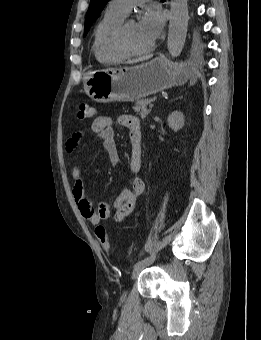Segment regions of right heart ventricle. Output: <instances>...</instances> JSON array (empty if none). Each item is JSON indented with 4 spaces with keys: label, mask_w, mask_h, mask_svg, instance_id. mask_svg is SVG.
Masks as SVG:
<instances>
[{
    "label": "right heart ventricle",
    "mask_w": 261,
    "mask_h": 340,
    "mask_svg": "<svg viewBox=\"0 0 261 340\" xmlns=\"http://www.w3.org/2000/svg\"><path fill=\"white\" fill-rule=\"evenodd\" d=\"M125 15L108 7L97 24L94 32L92 51L98 62L110 64L123 60L126 56L113 46L116 29L124 20Z\"/></svg>",
    "instance_id": "e07e8e85"
}]
</instances>
